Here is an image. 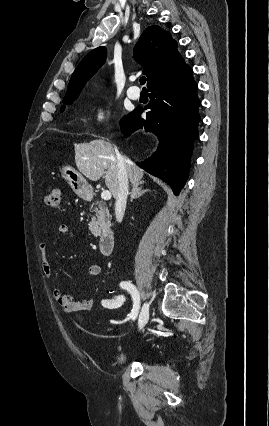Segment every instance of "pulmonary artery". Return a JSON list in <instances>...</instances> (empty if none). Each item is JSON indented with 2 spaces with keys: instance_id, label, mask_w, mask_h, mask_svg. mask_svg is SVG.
I'll return each instance as SVG.
<instances>
[{
  "instance_id": "e3ab8cb5",
  "label": "pulmonary artery",
  "mask_w": 269,
  "mask_h": 426,
  "mask_svg": "<svg viewBox=\"0 0 269 426\" xmlns=\"http://www.w3.org/2000/svg\"><path fill=\"white\" fill-rule=\"evenodd\" d=\"M140 90L138 87L136 86H131L128 90H127V95L130 99L132 100H137L140 98Z\"/></svg>"
}]
</instances>
